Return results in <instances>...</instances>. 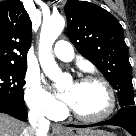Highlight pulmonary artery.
<instances>
[{"label":"pulmonary artery","mask_w":136,"mask_h":136,"mask_svg":"<svg viewBox=\"0 0 136 136\" xmlns=\"http://www.w3.org/2000/svg\"><path fill=\"white\" fill-rule=\"evenodd\" d=\"M54 54L63 61H70L74 57V50L69 42L60 40L54 46Z\"/></svg>","instance_id":"e3ab8cb5"}]
</instances>
